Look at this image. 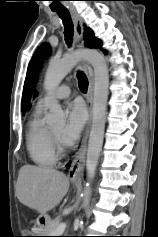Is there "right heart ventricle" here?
<instances>
[{
  "label": "right heart ventricle",
  "instance_id": "1",
  "mask_svg": "<svg viewBox=\"0 0 158 237\" xmlns=\"http://www.w3.org/2000/svg\"><path fill=\"white\" fill-rule=\"evenodd\" d=\"M44 106L36 107L27 128L26 146L30 158L37 165L52 166L57 155L50 138V129L42 121Z\"/></svg>",
  "mask_w": 158,
  "mask_h": 237
}]
</instances>
